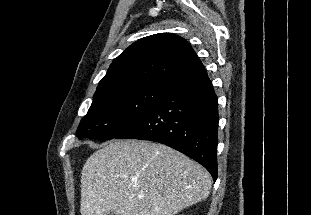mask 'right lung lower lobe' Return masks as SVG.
I'll return each mask as SVG.
<instances>
[{
    "instance_id": "obj_1",
    "label": "right lung lower lobe",
    "mask_w": 311,
    "mask_h": 215,
    "mask_svg": "<svg viewBox=\"0 0 311 215\" xmlns=\"http://www.w3.org/2000/svg\"><path fill=\"white\" fill-rule=\"evenodd\" d=\"M218 100L205 67L170 83L159 102L116 139H141L172 147L217 179Z\"/></svg>"
}]
</instances>
